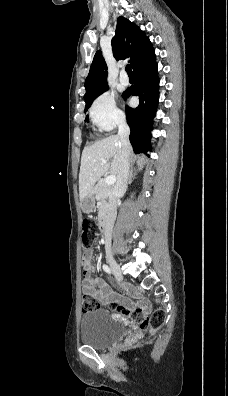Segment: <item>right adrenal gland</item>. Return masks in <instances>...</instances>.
<instances>
[{
	"label": "right adrenal gland",
	"mask_w": 228,
	"mask_h": 396,
	"mask_svg": "<svg viewBox=\"0 0 228 396\" xmlns=\"http://www.w3.org/2000/svg\"><path fill=\"white\" fill-rule=\"evenodd\" d=\"M143 169V165L142 164H138L137 169L136 168H132L130 171V175H129V183L132 182L133 177L136 175L137 171H141Z\"/></svg>",
	"instance_id": "2a0ac1e0"
}]
</instances>
